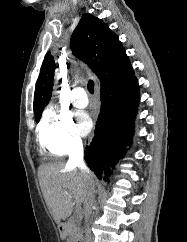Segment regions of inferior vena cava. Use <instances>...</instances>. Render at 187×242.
<instances>
[{
	"label": "inferior vena cava",
	"mask_w": 187,
	"mask_h": 242,
	"mask_svg": "<svg viewBox=\"0 0 187 242\" xmlns=\"http://www.w3.org/2000/svg\"><path fill=\"white\" fill-rule=\"evenodd\" d=\"M83 144L80 139L74 140L71 145L70 152H69V160L68 165L73 167H78L82 173L90 174L89 169L87 168L86 164L84 163L83 159ZM95 204V187L91 186L88 189L87 197L84 202V215H85V237L84 242H92V235L91 230L89 228V220L92 215V207Z\"/></svg>",
	"instance_id": "inferior-vena-cava-1"
}]
</instances>
